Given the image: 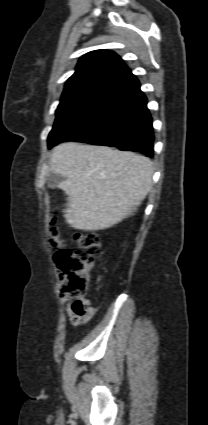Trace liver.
Listing matches in <instances>:
<instances>
[{"mask_svg": "<svg viewBox=\"0 0 208 425\" xmlns=\"http://www.w3.org/2000/svg\"><path fill=\"white\" fill-rule=\"evenodd\" d=\"M50 169L65 180L64 217L74 229L98 231L132 214L152 187L149 158L106 146L66 142L52 152Z\"/></svg>", "mask_w": 208, "mask_h": 425, "instance_id": "1", "label": "liver"}]
</instances>
